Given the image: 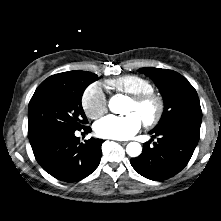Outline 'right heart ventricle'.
Here are the masks:
<instances>
[{
    "label": "right heart ventricle",
    "mask_w": 221,
    "mask_h": 221,
    "mask_svg": "<svg viewBox=\"0 0 221 221\" xmlns=\"http://www.w3.org/2000/svg\"><path fill=\"white\" fill-rule=\"evenodd\" d=\"M106 87L112 92L130 96L153 91V85L149 80L134 74L107 80Z\"/></svg>",
    "instance_id": "e07e8e85"
}]
</instances>
